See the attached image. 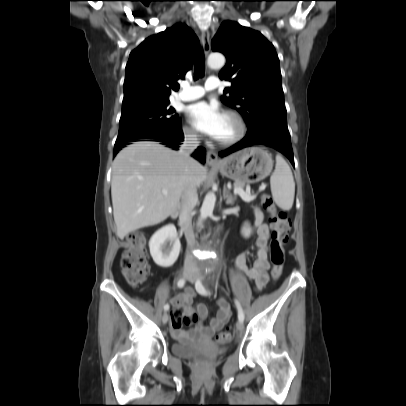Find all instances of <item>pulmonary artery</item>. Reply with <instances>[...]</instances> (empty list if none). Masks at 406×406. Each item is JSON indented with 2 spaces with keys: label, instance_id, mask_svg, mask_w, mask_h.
<instances>
[{
  "label": "pulmonary artery",
  "instance_id": "1",
  "mask_svg": "<svg viewBox=\"0 0 406 406\" xmlns=\"http://www.w3.org/2000/svg\"><path fill=\"white\" fill-rule=\"evenodd\" d=\"M220 87L219 79L216 77H209L204 86H190L178 98L182 101H193L201 98L206 91L218 89Z\"/></svg>",
  "mask_w": 406,
  "mask_h": 406
}]
</instances>
